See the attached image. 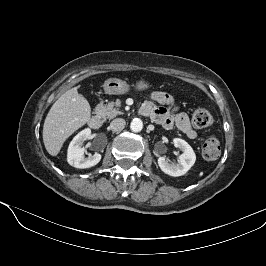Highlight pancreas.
<instances>
[{"instance_id": "obj_1", "label": "pancreas", "mask_w": 266, "mask_h": 266, "mask_svg": "<svg viewBox=\"0 0 266 266\" xmlns=\"http://www.w3.org/2000/svg\"><path fill=\"white\" fill-rule=\"evenodd\" d=\"M121 106V101L117 100L116 102H108L105 105H98L96 110L103 117L107 119H112L118 115H121L119 107Z\"/></svg>"}]
</instances>
